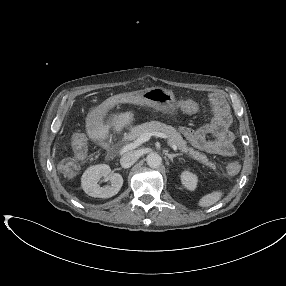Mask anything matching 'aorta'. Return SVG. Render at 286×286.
I'll return each mask as SVG.
<instances>
[{
    "mask_svg": "<svg viewBox=\"0 0 286 286\" xmlns=\"http://www.w3.org/2000/svg\"><path fill=\"white\" fill-rule=\"evenodd\" d=\"M146 162L151 168H158L162 163V158L157 153H149L146 157Z\"/></svg>",
    "mask_w": 286,
    "mask_h": 286,
    "instance_id": "obj_1",
    "label": "aorta"
}]
</instances>
